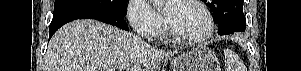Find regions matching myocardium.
I'll use <instances>...</instances> for the list:
<instances>
[{
  "label": "myocardium",
  "mask_w": 301,
  "mask_h": 71,
  "mask_svg": "<svg viewBox=\"0 0 301 71\" xmlns=\"http://www.w3.org/2000/svg\"><path fill=\"white\" fill-rule=\"evenodd\" d=\"M184 1L187 3H190L197 7L198 9L201 10V12L204 14L206 21H207V26L205 31L196 37H184L178 33H176L170 24L167 21V18H164V27H165V32L166 34L175 42L181 43V44H186V45H198L206 42L213 34L214 29H215V23L212 14L210 11L207 9V7L200 1L196 0H180Z\"/></svg>",
  "instance_id": "1"
}]
</instances>
